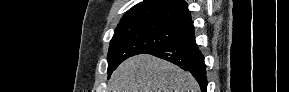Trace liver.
<instances>
[{
    "mask_svg": "<svg viewBox=\"0 0 289 92\" xmlns=\"http://www.w3.org/2000/svg\"><path fill=\"white\" fill-rule=\"evenodd\" d=\"M109 92H199L194 77L176 65L149 54L124 61L112 74Z\"/></svg>",
    "mask_w": 289,
    "mask_h": 92,
    "instance_id": "obj_1",
    "label": "liver"
}]
</instances>
